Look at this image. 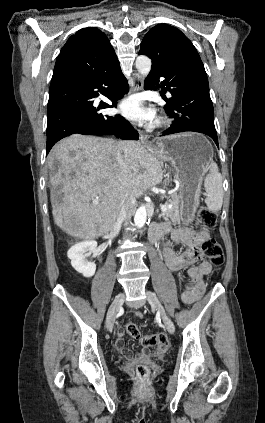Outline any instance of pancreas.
I'll return each instance as SVG.
<instances>
[{"label":"pancreas","instance_id":"pancreas-1","mask_svg":"<svg viewBox=\"0 0 265 423\" xmlns=\"http://www.w3.org/2000/svg\"><path fill=\"white\" fill-rule=\"evenodd\" d=\"M165 205L168 206L167 211L164 215L172 220V222L179 221V206H180V196L177 192H173L169 198H167ZM171 205V207H169Z\"/></svg>","mask_w":265,"mask_h":423}]
</instances>
